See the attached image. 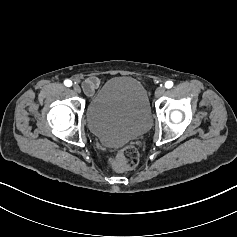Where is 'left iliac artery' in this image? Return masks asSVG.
Masks as SVG:
<instances>
[{
  "mask_svg": "<svg viewBox=\"0 0 237 237\" xmlns=\"http://www.w3.org/2000/svg\"><path fill=\"white\" fill-rule=\"evenodd\" d=\"M173 86V82L172 81H167L166 83H165V87L166 88H171Z\"/></svg>",
  "mask_w": 237,
  "mask_h": 237,
  "instance_id": "left-iliac-artery-1",
  "label": "left iliac artery"
}]
</instances>
